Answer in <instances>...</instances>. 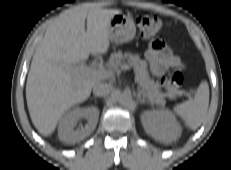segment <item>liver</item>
<instances>
[{
	"instance_id": "liver-1",
	"label": "liver",
	"mask_w": 231,
	"mask_h": 170,
	"mask_svg": "<svg viewBox=\"0 0 231 170\" xmlns=\"http://www.w3.org/2000/svg\"><path fill=\"white\" fill-rule=\"evenodd\" d=\"M120 13L117 9L76 6L56 18L46 30L33 56L26 83L29 114L43 136L51 135L63 114L85 101L100 81L74 68L90 54L108 51L109 23Z\"/></svg>"
}]
</instances>
